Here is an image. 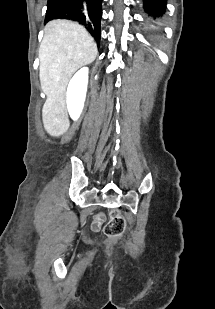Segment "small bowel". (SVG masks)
<instances>
[{
	"label": "small bowel",
	"instance_id": "obj_1",
	"mask_svg": "<svg viewBox=\"0 0 215 309\" xmlns=\"http://www.w3.org/2000/svg\"><path fill=\"white\" fill-rule=\"evenodd\" d=\"M104 221V215L103 214H99L96 218V224H97V228L100 227V224Z\"/></svg>",
	"mask_w": 215,
	"mask_h": 309
}]
</instances>
